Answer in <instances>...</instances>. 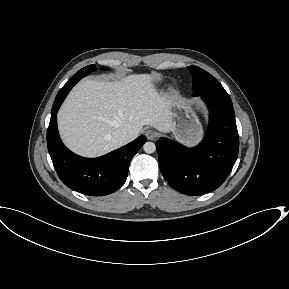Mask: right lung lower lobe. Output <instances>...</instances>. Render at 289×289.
Listing matches in <instances>:
<instances>
[{"label":"right lung lower lobe","mask_w":289,"mask_h":289,"mask_svg":"<svg viewBox=\"0 0 289 289\" xmlns=\"http://www.w3.org/2000/svg\"><path fill=\"white\" fill-rule=\"evenodd\" d=\"M81 78L74 75L58 92L47 131V146L55 170L66 186L85 195L104 196L125 183L130 161L146 142V137L141 135L120 149L94 159L68 150L59 137L56 115L69 91Z\"/></svg>","instance_id":"right-lung-lower-lobe-1"}]
</instances>
